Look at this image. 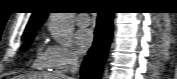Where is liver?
I'll return each instance as SVG.
<instances>
[{
	"label": "liver",
	"instance_id": "6515ba94",
	"mask_svg": "<svg viewBox=\"0 0 177 79\" xmlns=\"http://www.w3.org/2000/svg\"><path fill=\"white\" fill-rule=\"evenodd\" d=\"M17 79H69L63 74H35V75H23Z\"/></svg>",
	"mask_w": 177,
	"mask_h": 79
}]
</instances>
